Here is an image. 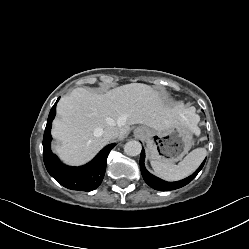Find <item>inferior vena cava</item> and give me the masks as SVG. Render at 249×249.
I'll return each mask as SVG.
<instances>
[{
	"mask_svg": "<svg viewBox=\"0 0 249 249\" xmlns=\"http://www.w3.org/2000/svg\"><path fill=\"white\" fill-rule=\"evenodd\" d=\"M103 135L108 140L115 139L119 136V130L114 127H108L104 130Z\"/></svg>",
	"mask_w": 249,
	"mask_h": 249,
	"instance_id": "1",
	"label": "inferior vena cava"
}]
</instances>
